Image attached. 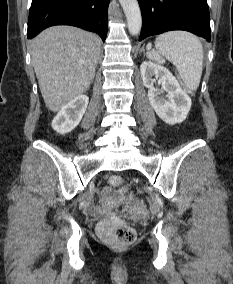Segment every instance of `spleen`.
I'll list each match as a JSON object with an SVG mask.
<instances>
[{
    "instance_id": "3e777b00",
    "label": "spleen",
    "mask_w": 233,
    "mask_h": 284,
    "mask_svg": "<svg viewBox=\"0 0 233 284\" xmlns=\"http://www.w3.org/2000/svg\"><path fill=\"white\" fill-rule=\"evenodd\" d=\"M156 50L148 52L150 59L165 57L177 68L188 90H197L203 70V46L200 40L185 31H170L156 38Z\"/></svg>"
}]
</instances>
